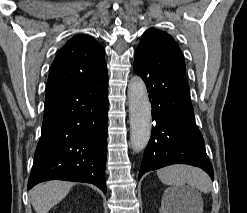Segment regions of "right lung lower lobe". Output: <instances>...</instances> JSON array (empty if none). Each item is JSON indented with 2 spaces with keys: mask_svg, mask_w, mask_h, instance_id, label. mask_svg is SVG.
<instances>
[{
  "mask_svg": "<svg viewBox=\"0 0 247 213\" xmlns=\"http://www.w3.org/2000/svg\"><path fill=\"white\" fill-rule=\"evenodd\" d=\"M108 104L107 72L46 92L28 189L57 179L92 183L106 192Z\"/></svg>",
  "mask_w": 247,
  "mask_h": 213,
  "instance_id": "obj_1",
  "label": "right lung lower lobe"
}]
</instances>
